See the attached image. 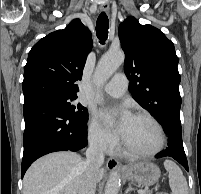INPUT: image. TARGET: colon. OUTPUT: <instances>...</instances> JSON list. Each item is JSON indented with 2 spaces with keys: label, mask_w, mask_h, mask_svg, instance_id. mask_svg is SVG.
I'll list each match as a JSON object with an SVG mask.
<instances>
[{
  "label": "colon",
  "mask_w": 201,
  "mask_h": 194,
  "mask_svg": "<svg viewBox=\"0 0 201 194\" xmlns=\"http://www.w3.org/2000/svg\"><path fill=\"white\" fill-rule=\"evenodd\" d=\"M157 194H168V193L165 192V191H160V192H158Z\"/></svg>",
  "instance_id": "5ec220e1"
}]
</instances>
